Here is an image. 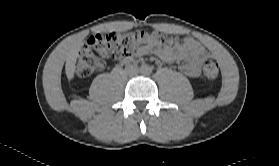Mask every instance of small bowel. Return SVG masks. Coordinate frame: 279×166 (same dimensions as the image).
<instances>
[{"label":"small bowel","mask_w":279,"mask_h":166,"mask_svg":"<svg viewBox=\"0 0 279 166\" xmlns=\"http://www.w3.org/2000/svg\"><path fill=\"white\" fill-rule=\"evenodd\" d=\"M150 51H154L165 62L176 60L183 61L180 69L190 77H196L200 74L202 60L207 56L205 48L195 39L188 38L181 45L168 46L164 48H153L145 46L137 49L131 56L124 58V63H131L134 58L141 57Z\"/></svg>","instance_id":"small-bowel-1"}]
</instances>
